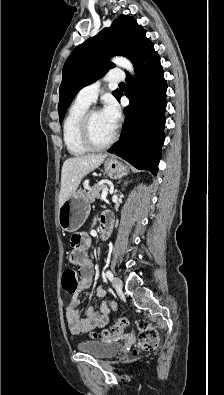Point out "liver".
Here are the masks:
<instances>
[{
	"mask_svg": "<svg viewBox=\"0 0 224 395\" xmlns=\"http://www.w3.org/2000/svg\"><path fill=\"white\" fill-rule=\"evenodd\" d=\"M106 154H87L67 159L62 166L59 207L77 190L82 179L99 167Z\"/></svg>",
	"mask_w": 224,
	"mask_h": 395,
	"instance_id": "1",
	"label": "liver"
}]
</instances>
